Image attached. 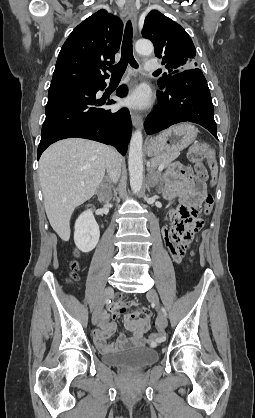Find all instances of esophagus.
Here are the masks:
<instances>
[{
    "mask_svg": "<svg viewBox=\"0 0 255 418\" xmlns=\"http://www.w3.org/2000/svg\"><path fill=\"white\" fill-rule=\"evenodd\" d=\"M126 9H127L128 15L132 19V22H133V25H134V28H135L137 15H136V9H135V5L133 3V0H129V2L127 3ZM131 119H132V123L135 127L139 126L142 122L141 116L137 113H132L131 114Z\"/></svg>",
    "mask_w": 255,
    "mask_h": 418,
    "instance_id": "esophagus-1",
    "label": "esophagus"
}]
</instances>
